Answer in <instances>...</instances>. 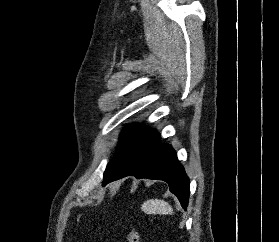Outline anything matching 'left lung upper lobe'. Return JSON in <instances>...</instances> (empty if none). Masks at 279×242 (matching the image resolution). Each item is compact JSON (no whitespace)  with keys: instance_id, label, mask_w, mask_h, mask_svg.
Instances as JSON below:
<instances>
[{"instance_id":"obj_1","label":"left lung upper lobe","mask_w":279,"mask_h":242,"mask_svg":"<svg viewBox=\"0 0 279 242\" xmlns=\"http://www.w3.org/2000/svg\"><path fill=\"white\" fill-rule=\"evenodd\" d=\"M119 145L104 172V183L118 180L126 170L160 142L156 130L132 124L125 128L119 137Z\"/></svg>"}]
</instances>
